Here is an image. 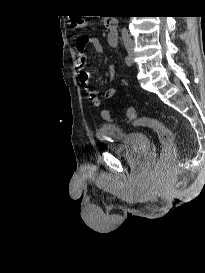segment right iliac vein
<instances>
[{"mask_svg":"<svg viewBox=\"0 0 205 273\" xmlns=\"http://www.w3.org/2000/svg\"><path fill=\"white\" fill-rule=\"evenodd\" d=\"M128 53H129L130 56H133V53H132L131 50H128Z\"/></svg>","mask_w":205,"mask_h":273,"instance_id":"right-iliac-vein-1","label":"right iliac vein"}]
</instances>
